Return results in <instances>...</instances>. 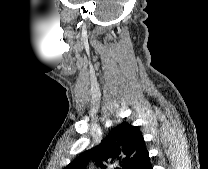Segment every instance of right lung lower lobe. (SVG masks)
I'll use <instances>...</instances> for the list:
<instances>
[{
  "label": "right lung lower lobe",
  "mask_w": 208,
  "mask_h": 169,
  "mask_svg": "<svg viewBox=\"0 0 208 169\" xmlns=\"http://www.w3.org/2000/svg\"><path fill=\"white\" fill-rule=\"evenodd\" d=\"M140 169H152V165L150 163V159L148 158L147 161L140 167Z\"/></svg>",
  "instance_id": "98d812e1"
}]
</instances>
